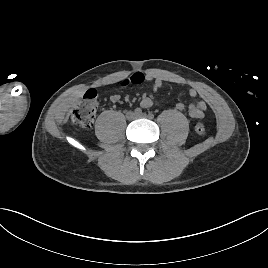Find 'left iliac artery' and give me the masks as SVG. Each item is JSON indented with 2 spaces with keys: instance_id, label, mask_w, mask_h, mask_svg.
<instances>
[{
  "instance_id": "44dca946",
  "label": "left iliac artery",
  "mask_w": 268,
  "mask_h": 268,
  "mask_svg": "<svg viewBox=\"0 0 268 268\" xmlns=\"http://www.w3.org/2000/svg\"><path fill=\"white\" fill-rule=\"evenodd\" d=\"M148 117H149L150 119H153V118H154V114H153V113H149V114H148Z\"/></svg>"
}]
</instances>
